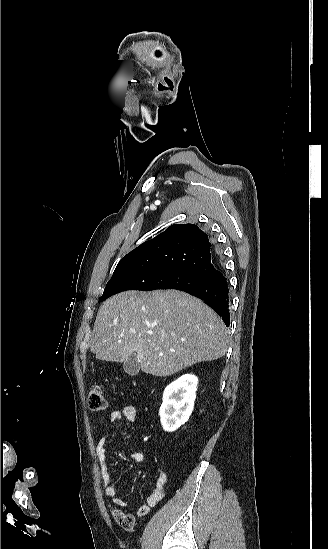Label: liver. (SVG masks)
Listing matches in <instances>:
<instances>
[{
    "instance_id": "6515ba94",
    "label": "liver",
    "mask_w": 328,
    "mask_h": 549,
    "mask_svg": "<svg viewBox=\"0 0 328 549\" xmlns=\"http://www.w3.org/2000/svg\"><path fill=\"white\" fill-rule=\"evenodd\" d=\"M228 331L200 299L182 291H124L101 305L91 351L96 359L125 363L137 355L148 375L169 377L200 361L220 359Z\"/></svg>"
}]
</instances>
